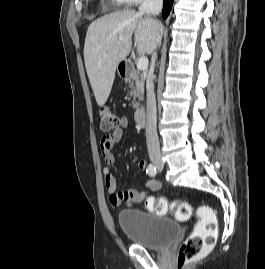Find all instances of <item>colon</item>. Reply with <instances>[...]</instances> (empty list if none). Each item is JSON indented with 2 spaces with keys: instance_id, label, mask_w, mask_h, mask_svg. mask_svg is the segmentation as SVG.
Listing matches in <instances>:
<instances>
[{
  "instance_id": "colon-1",
  "label": "colon",
  "mask_w": 265,
  "mask_h": 269,
  "mask_svg": "<svg viewBox=\"0 0 265 269\" xmlns=\"http://www.w3.org/2000/svg\"><path fill=\"white\" fill-rule=\"evenodd\" d=\"M101 129L104 132L115 133L120 129L121 121L117 115L109 108L99 110ZM149 211L155 214H166L171 211L174 216L184 221L190 217L191 206L188 202L177 200L170 202L165 197H149L146 201ZM198 213L200 221L195 225L192 233L183 241L179 248L177 266L178 269L184 267L198 258L206 249L216 241L217 217L214 211L208 207H199Z\"/></svg>"
}]
</instances>
